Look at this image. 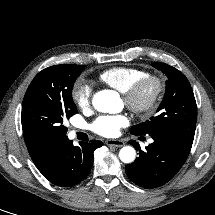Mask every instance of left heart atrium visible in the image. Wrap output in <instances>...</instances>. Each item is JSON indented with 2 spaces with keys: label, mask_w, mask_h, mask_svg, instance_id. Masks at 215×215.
Returning a JSON list of instances; mask_svg holds the SVG:
<instances>
[{
  "label": "left heart atrium",
  "mask_w": 215,
  "mask_h": 215,
  "mask_svg": "<svg viewBox=\"0 0 215 215\" xmlns=\"http://www.w3.org/2000/svg\"><path fill=\"white\" fill-rule=\"evenodd\" d=\"M128 124L129 119L125 114L101 115L94 120L91 129L103 137H115Z\"/></svg>",
  "instance_id": "obj_1"
}]
</instances>
